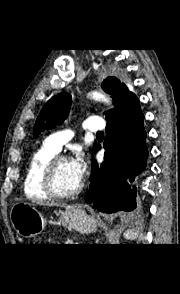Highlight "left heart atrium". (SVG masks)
<instances>
[{
    "label": "left heart atrium",
    "instance_id": "obj_1",
    "mask_svg": "<svg viewBox=\"0 0 180 294\" xmlns=\"http://www.w3.org/2000/svg\"><path fill=\"white\" fill-rule=\"evenodd\" d=\"M70 164L75 176L81 181L87 171V164L82 153H77L76 156L70 160Z\"/></svg>",
    "mask_w": 180,
    "mask_h": 294
}]
</instances>
